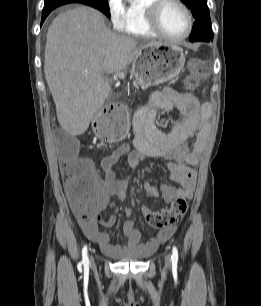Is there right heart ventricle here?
<instances>
[{
	"instance_id": "obj_1",
	"label": "right heart ventricle",
	"mask_w": 261,
	"mask_h": 306,
	"mask_svg": "<svg viewBox=\"0 0 261 306\" xmlns=\"http://www.w3.org/2000/svg\"><path fill=\"white\" fill-rule=\"evenodd\" d=\"M152 0H134L125 7V22L122 31L139 38H155L157 34L147 22L146 7Z\"/></svg>"
}]
</instances>
